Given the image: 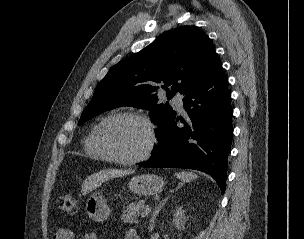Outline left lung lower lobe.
Segmentation results:
<instances>
[{"mask_svg":"<svg viewBox=\"0 0 304 239\" xmlns=\"http://www.w3.org/2000/svg\"><path fill=\"white\" fill-rule=\"evenodd\" d=\"M231 94L219 58L183 99L187 120L173 116L158 134L159 144L141 167L196 169L210 174L224 192L233 127ZM184 126L179 127L177 121Z\"/></svg>","mask_w":304,"mask_h":239,"instance_id":"1","label":"left lung lower lobe"}]
</instances>
